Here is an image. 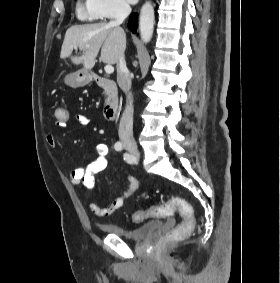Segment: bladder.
<instances>
[{
    "mask_svg": "<svg viewBox=\"0 0 280 283\" xmlns=\"http://www.w3.org/2000/svg\"><path fill=\"white\" fill-rule=\"evenodd\" d=\"M162 225L160 220H151L133 229H126L119 224H105L102 229L105 233L116 235L122 239L139 241L160 229Z\"/></svg>",
    "mask_w": 280,
    "mask_h": 283,
    "instance_id": "bladder-1",
    "label": "bladder"
}]
</instances>
